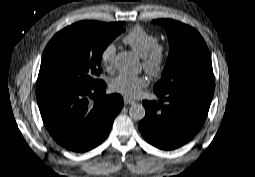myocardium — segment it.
<instances>
[{"label":"myocardium","instance_id":"1","mask_svg":"<svg viewBox=\"0 0 255 177\" xmlns=\"http://www.w3.org/2000/svg\"><path fill=\"white\" fill-rule=\"evenodd\" d=\"M168 54V46L165 43L157 42L143 57L144 71L152 77L160 75L166 67Z\"/></svg>","mask_w":255,"mask_h":177}]
</instances>
